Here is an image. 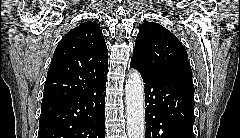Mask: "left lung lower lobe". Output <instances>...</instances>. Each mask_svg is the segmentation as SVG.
Wrapping results in <instances>:
<instances>
[{"mask_svg": "<svg viewBox=\"0 0 240 138\" xmlns=\"http://www.w3.org/2000/svg\"><path fill=\"white\" fill-rule=\"evenodd\" d=\"M145 87V138H195L194 85L188 73H147L134 64Z\"/></svg>", "mask_w": 240, "mask_h": 138, "instance_id": "0a47b994", "label": "left lung lower lobe"}]
</instances>
